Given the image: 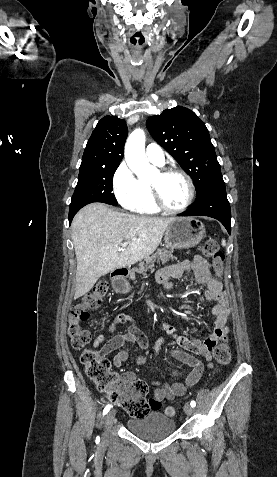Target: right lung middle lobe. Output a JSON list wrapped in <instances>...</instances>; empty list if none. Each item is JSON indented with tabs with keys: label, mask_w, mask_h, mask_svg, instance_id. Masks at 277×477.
<instances>
[{
	"label": "right lung middle lobe",
	"mask_w": 277,
	"mask_h": 477,
	"mask_svg": "<svg viewBox=\"0 0 277 477\" xmlns=\"http://www.w3.org/2000/svg\"><path fill=\"white\" fill-rule=\"evenodd\" d=\"M118 166L81 170L69 208V222L83 206L92 202L116 205L112 193L113 175Z\"/></svg>",
	"instance_id": "right-lung-middle-lobe-1"
}]
</instances>
